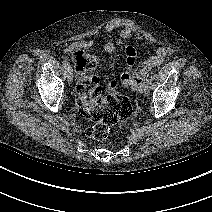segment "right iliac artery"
<instances>
[{"instance_id":"right-iliac-artery-1","label":"right iliac artery","mask_w":212,"mask_h":212,"mask_svg":"<svg viewBox=\"0 0 212 212\" xmlns=\"http://www.w3.org/2000/svg\"><path fill=\"white\" fill-rule=\"evenodd\" d=\"M64 68L70 69V64L67 61H62Z\"/></svg>"}]
</instances>
